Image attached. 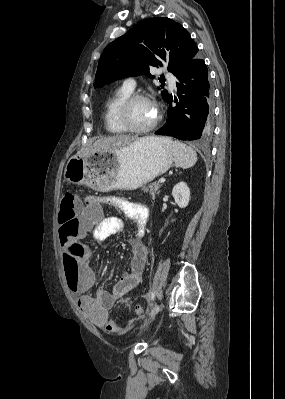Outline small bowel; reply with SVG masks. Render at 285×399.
I'll use <instances>...</instances> for the list:
<instances>
[{"label":"small bowel","mask_w":285,"mask_h":399,"mask_svg":"<svg viewBox=\"0 0 285 399\" xmlns=\"http://www.w3.org/2000/svg\"><path fill=\"white\" fill-rule=\"evenodd\" d=\"M104 205L118 207L124 216L132 221L135 226L136 235L129 239L131 249L130 269L125 272L114 285L111 292L100 287L94 296L87 293L96 283V277L89 264L91 252L85 249L81 264L80 274L76 282L70 284L76 299L79 311L89 318L97 327L105 328L111 334H119L123 328L114 320L109 319L108 310L116 301L133 290L142 278L144 268L148 259L146 245L141 237L146 232L148 210L142 203L126 198H99L96 203L89 205L90 209L101 208ZM69 222L78 224L79 234L89 233L96 241H102L110 236L117 235L123 230V221L118 217L103 216L98 223L90 229L86 221L79 215V209L75 211L74 217ZM59 238L62 248H68L77 239L69 230L59 229Z\"/></svg>","instance_id":"c3829d8e"}]
</instances>
